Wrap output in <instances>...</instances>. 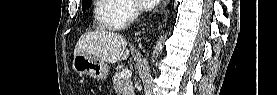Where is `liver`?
<instances>
[{
  "label": "liver",
  "mask_w": 277,
  "mask_h": 95,
  "mask_svg": "<svg viewBox=\"0 0 277 95\" xmlns=\"http://www.w3.org/2000/svg\"><path fill=\"white\" fill-rule=\"evenodd\" d=\"M127 42L119 34L97 30L83 34L76 43L74 56L80 53H87L95 56L105 63L114 64L129 57V50H126Z\"/></svg>",
  "instance_id": "6515ba94"
}]
</instances>
